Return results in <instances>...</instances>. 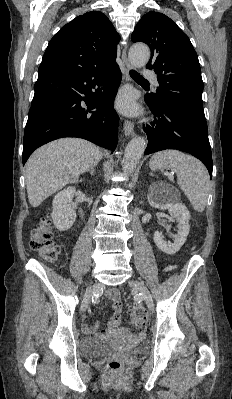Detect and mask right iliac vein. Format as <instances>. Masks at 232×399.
<instances>
[{"instance_id":"right-iliac-vein-1","label":"right iliac vein","mask_w":232,"mask_h":399,"mask_svg":"<svg viewBox=\"0 0 232 399\" xmlns=\"http://www.w3.org/2000/svg\"><path fill=\"white\" fill-rule=\"evenodd\" d=\"M91 301H92L91 287L87 286L86 291L84 293V300H82V302H81V308L79 309V312L83 313L84 310H88V305H89V302H91Z\"/></svg>"}]
</instances>
